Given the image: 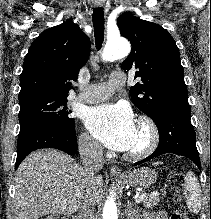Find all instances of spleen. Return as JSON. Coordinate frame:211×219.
Returning <instances> with one entry per match:
<instances>
[{
    "instance_id": "obj_1",
    "label": "spleen",
    "mask_w": 211,
    "mask_h": 219,
    "mask_svg": "<svg viewBox=\"0 0 211 219\" xmlns=\"http://www.w3.org/2000/svg\"><path fill=\"white\" fill-rule=\"evenodd\" d=\"M153 165H157V163ZM184 189L189 211L198 214L202 205V195L198 179L193 172L186 174Z\"/></svg>"
}]
</instances>
